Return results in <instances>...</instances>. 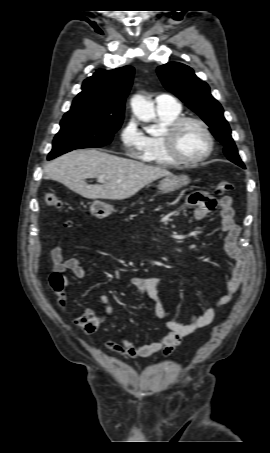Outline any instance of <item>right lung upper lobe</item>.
Masks as SVG:
<instances>
[{
  "label": "right lung upper lobe",
  "instance_id": "right-lung-upper-lobe-1",
  "mask_svg": "<svg viewBox=\"0 0 270 453\" xmlns=\"http://www.w3.org/2000/svg\"><path fill=\"white\" fill-rule=\"evenodd\" d=\"M134 75V68L124 66L114 70H97L82 85V91L73 100L64 116L94 114L122 121L125 98Z\"/></svg>",
  "mask_w": 270,
  "mask_h": 453
}]
</instances>
